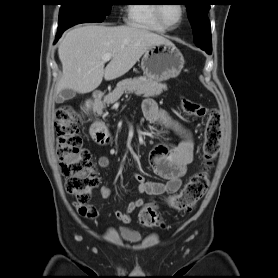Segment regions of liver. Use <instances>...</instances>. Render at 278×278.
I'll return each mask as SVG.
<instances>
[{"label": "liver", "mask_w": 278, "mask_h": 278, "mask_svg": "<svg viewBox=\"0 0 278 278\" xmlns=\"http://www.w3.org/2000/svg\"><path fill=\"white\" fill-rule=\"evenodd\" d=\"M171 43L165 37L137 26L106 27L85 25L68 31L62 38L58 55L62 77L56 95L63 89L81 94L95 90L105 80L127 73L152 45ZM112 54L104 68L102 57Z\"/></svg>", "instance_id": "obj_1"}]
</instances>
